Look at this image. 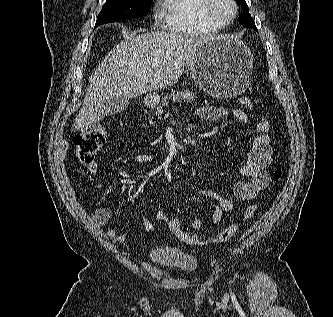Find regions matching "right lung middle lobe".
<instances>
[{
  "label": "right lung middle lobe",
  "mask_w": 333,
  "mask_h": 317,
  "mask_svg": "<svg viewBox=\"0 0 333 317\" xmlns=\"http://www.w3.org/2000/svg\"><path fill=\"white\" fill-rule=\"evenodd\" d=\"M152 0H106L99 13L95 27L132 17L145 15Z\"/></svg>",
  "instance_id": "1"
}]
</instances>
